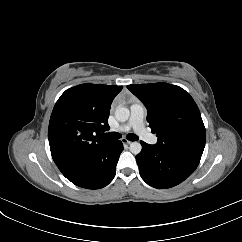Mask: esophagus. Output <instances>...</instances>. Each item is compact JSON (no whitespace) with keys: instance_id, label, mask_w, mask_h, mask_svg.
<instances>
[{"instance_id":"1","label":"esophagus","mask_w":242,"mask_h":242,"mask_svg":"<svg viewBox=\"0 0 242 242\" xmlns=\"http://www.w3.org/2000/svg\"><path fill=\"white\" fill-rule=\"evenodd\" d=\"M122 143H124V144H131L132 142L131 141H129V140H127L126 138H123L122 139Z\"/></svg>"}]
</instances>
